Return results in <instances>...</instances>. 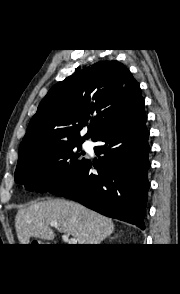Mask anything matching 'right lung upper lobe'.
I'll return each instance as SVG.
<instances>
[{
    "label": "right lung upper lobe",
    "instance_id": "cb5924a9",
    "mask_svg": "<svg viewBox=\"0 0 180 294\" xmlns=\"http://www.w3.org/2000/svg\"><path fill=\"white\" fill-rule=\"evenodd\" d=\"M141 100L139 84L117 61H100L69 76L40 103L19 146L18 162L43 148L93 140Z\"/></svg>",
    "mask_w": 180,
    "mask_h": 294
}]
</instances>
